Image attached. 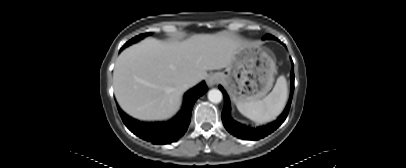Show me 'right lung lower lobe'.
Instances as JSON below:
<instances>
[{
  "instance_id": "1",
  "label": "right lung lower lobe",
  "mask_w": 406,
  "mask_h": 168,
  "mask_svg": "<svg viewBox=\"0 0 406 168\" xmlns=\"http://www.w3.org/2000/svg\"><path fill=\"white\" fill-rule=\"evenodd\" d=\"M206 91L205 82L187 91L181 110L166 122H140L129 117L120 109L118 111L127 128L138 137L151 141L153 144H169L184 135L191 120L193 105Z\"/></svg>"
}]
</instances>
